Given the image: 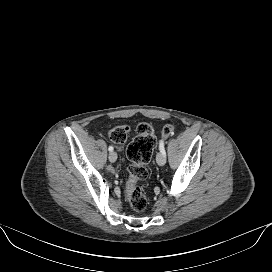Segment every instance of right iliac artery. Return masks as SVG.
<instances>
[{"instance_id":"1","label":"right iliac artery","mask_w":272,"mask_h":272,"mask_svg":"<svg viewBox=\"0 0 272 272\" xmlns=\"http://www.w3.org/2000/svg\"><path fill=\"white\" fill-rule=\"evenodd\" d=\"M108 150H109L110 152H112V151H113V146H109Z\"/></svg>"}]
</instances>
